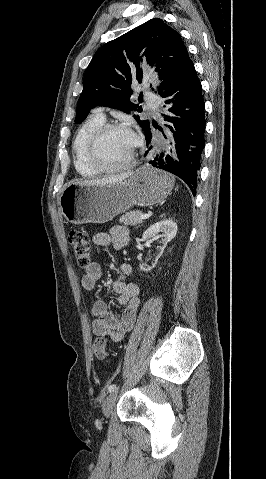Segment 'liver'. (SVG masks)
<instances>
[{"label":"liver","instance_id":"liver-1","mask_svg":"<svg viewBox=\"0 0 266 479\" xmlns=\"http://www.w3.org/2000/svg\"><path fill=\"white\" fill-rule=\"evenodd\" d=\"M131 175V172L128 173H123L120 175L112 176V177H107L103 179H94V180H85V181H80L76 182L75 184H81V185H86V184H91V185H104L108 183H116L119 181H123L126 178H128Z\"/></svg>","mask_w":266,"mask_h":479}]
</instances>
